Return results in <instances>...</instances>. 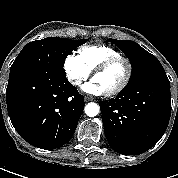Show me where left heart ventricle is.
I'll return each instance as SVG.
<instances>
[{
	"instance_id": "b2bd125f",
	"label": "left heart ventricle",
	"mask_w": 178,
	"mask_h": 178,
	"mask_svg": "<svg viewBox=\"0 0 178 178\" xmlns=\"http://www.w3.org/2000/svg\"><path fill=\"white\" fill-rule=\"evenodd\" d=\"M126 75V64L122 61L112 65L103 73L94 77L105 92L113 90L119 86L124 80Z\"/></svg>"
}]
</instances>
